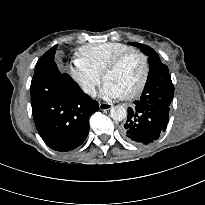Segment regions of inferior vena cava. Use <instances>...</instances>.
I'll use <instances>...</instances> for the list:
<instances>
[{
	"mask_svg": "<svg viewBox=\"0 0 205 205\" xmlns=\"http://www.w3.org/2000/svg\"><path fill=\"white\" fill-rule=\"evenodd\" d=\"M83 91L86 93V94H89L91 95L92 97H96L97 93H96V90H95V87L90 85V86H84L83 87Z\"/></svg>",
	"mask_w": 205,
	"mask_h": 205,
	"instance_id": "602c4592",
	"label": "inferior vena cava"
}]
</instances>
